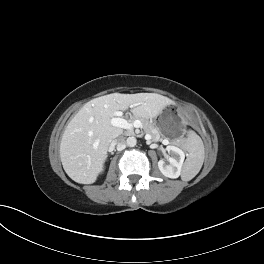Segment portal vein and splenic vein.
Returning a JSON list of instances; mask_svg holds the SVG:
<instances>
[{"mask_svg": "<svg viewBox=\"0 0 264 264\" xmlns=\"http://www.w3.org/2000/svg\"><path fill=\"white\" fill-rule=\"evenodd\" d=\"M114 116L110 122L113 126L123 128V129H131L132 127L140 128L142 127V123L140 120H135L133 123H129L127 120L120 118L122 116L121 111H116Z\"/></svg>", "mask_w": 264, "mask_h": 264, "instance_id": "portal-vein-and-splenic-vein-1", "label": "portal vein and splenic vein"}]
</instances>
